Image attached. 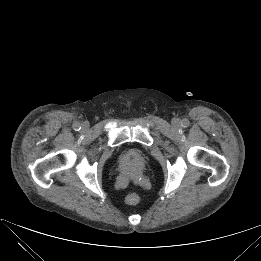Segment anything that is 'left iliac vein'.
I'll return each mask as SVG.
<instances>
[{"mask_svg":"<svg viewBox=\"0 0 261 261\" xmlns=\"http://www.w3.org/2000/svg\"><path fill=\"white\" fill-rule=\"evenodd\" d=\"M173 125H174L175 127H179L180 121H179L178 119H174V120H173Z\"/></svg>","mask_w":261,"mask_h":261,"instance_id":"1","label":"left iliac vein"}]
</instances>
